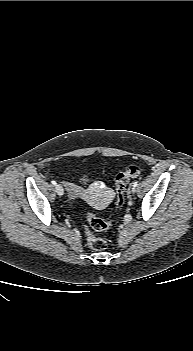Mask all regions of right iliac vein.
Segmentation results:
<instances>
[{
	"instance_id": "1",
	"label": "right iliac vein",
	"mask_w": 193,
	"mask_h": 351,
	"mask_svg": "<svg viewBox=\"0 0 193 351\" xmlns=\"http://www.w3.org/2000/svg\"><path fill=\"white\" fill-rule=\"evenodd\" d=\"M55 189H56V192L59 196H62L64 194V189L60 184H57Z\"/></svg>"
}]
</instances>
